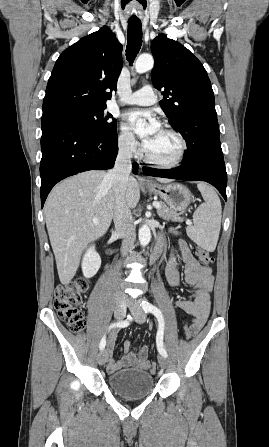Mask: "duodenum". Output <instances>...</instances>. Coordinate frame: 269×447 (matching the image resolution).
Returning <instances> with one entry per match:
<instances>
[{"label": "duodenum", "instance_id": "410a0bca", "mask_svg": "<svg viewBox=\"0 0 269 447\" xmlns=\"http://www.w3.org/2000/svg\"><path fill=\"white\" fill-rule=\"evenodd\" d=\"M158 257H159V251H155V252L152 254L151 262L156 261Z\"/></svg>", "mask_w": 269, "mask_h": 447}]
</instances>
